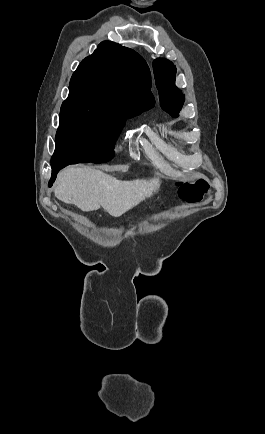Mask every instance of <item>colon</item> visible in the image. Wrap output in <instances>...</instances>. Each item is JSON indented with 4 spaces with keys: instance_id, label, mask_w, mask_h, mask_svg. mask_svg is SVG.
<instances>
[{
    "instance_id": "1",
    "label": "colon",
    "mask_w": 265,
    "mask_h": 434,
    "mask_svg": "<svg viewBox=\"0 0 265 434\" xmlns=\"http://www.w3.org/2000/svg\"><path fill=\"white\" fill-rule=\"evenodd\" d=\"M204 186V180H201L200 177H195L194 180H179L177 182L178 193H186V202H207V193H201ZM117 230L118 228L114 229V231Z\"/></svg>"
}]
</instances>
